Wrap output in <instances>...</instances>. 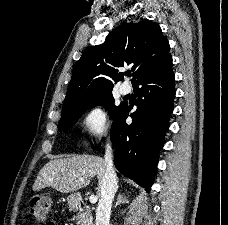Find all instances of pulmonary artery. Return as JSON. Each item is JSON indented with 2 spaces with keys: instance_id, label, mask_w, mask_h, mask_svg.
I'll use <instances>...</instances> for the list:
<instances>
[{
  "instance_id": "pulmonary-artery-1",
  "label": "pulmonary artery",
  "mask_w": 228,
  "mask_h": 225,
  "mask_svg": "<svg viewBox=\"0 0 228 225\" xmlns=\"http://www.w3.org/2000/svg\"><path fill=\"white\" fill-rule=\"evenodd\" d=\"M131 92V86L128 82H123L120 86V93L122 95H127Z\"/></svg>"
}]
</instances>
